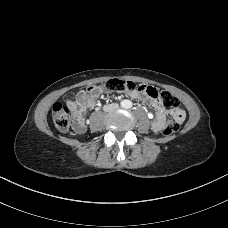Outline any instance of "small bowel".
<instances>
[{
    "label": "small bowel",
    "mask_w": 228,
    "mask_h": 228,
    "mask_svg": "<svg viewBox=\"0 0 228 228\" xmlns=\"http://www.w3.org/2000/svg\"><path fill=\"white\" fill-rule=\"evenodd\" d=\"M103 89L97 86H89L85 90H81L73 100H68L67 105L72 110L76 120V130L83 132L85 130L84 113L87 109L93 108L97 97L102 93ZM129 97L132 99H143L145 94L138 90L127 91ZM150 104L156 112V117L153 121V129L160 131L163 128L165 121V109L158 97L150 98ZM185 112L180 110L178 116L179 121H183Z\"/></svg>",
    "instance_id": "c3829d8e"
}]
</instances>
